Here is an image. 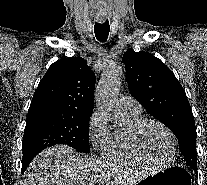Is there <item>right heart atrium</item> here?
<instances>
[{
  "label": "right heart atrium",
  "instance_id": "right-heart-atrium-1",
  "mask_svg": "<svg viewBox=\"0 0 207 185\" xmlns=\"http://www.w3.org/2000/svg\"><path fill=\"white\" fill-rule=\"evenodd\" d=\"M108 116L101 110L93 111L88 123V137L92 144L102 141L108 132Z\"/></svg>",
  "mask_w": 207,
  "mask_h": 185
}]
</instances>
